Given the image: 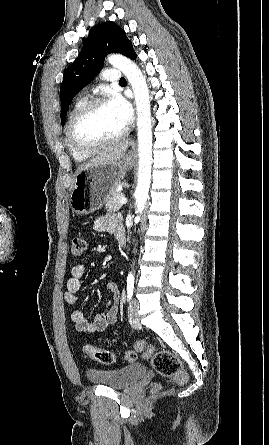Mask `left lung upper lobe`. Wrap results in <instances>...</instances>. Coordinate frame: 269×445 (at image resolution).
<instances>
[{
    "label": "left lung upper lobe",
    "instance_id": "5c2ea615",
    "mask_svg": "<svg viewBox=\"0 0 269 445\" xmlns=\"http://www.w3.org/2000/svg\"><path fill=\"white\" fill-rule=\"evenodd\" d=\"M109 53H121L132 60L137 56L125 31L111 21L90 30L81 53L64 72L60 88L62 125L72 99L101 70Z\"/></svg>",
    "mask_w": 269,
    "mask_h": 445
}]
</instances>
